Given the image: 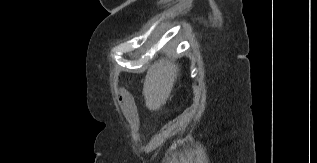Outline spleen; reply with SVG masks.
Wrapping results in <instances>:
<instances>
[{"mask_svg":"<svg viewBox=\"0 0 317 163\" xmlns=\"http://www.w3.org/2000/svg\"><path fill=\"white\" fill-rule=\"evenodd\" d=\"M178 66L163 58L149 68L143 88L148 108L155 110L165 103L176 80Z\"/></svg>","mask_w":317,"mask_h":163,"instance_id":"spleen-1","label":"spleen"}]
</instances>
